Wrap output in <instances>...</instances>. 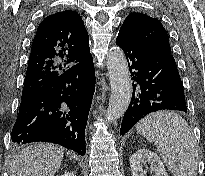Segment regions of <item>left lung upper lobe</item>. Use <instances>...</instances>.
I'll return each mask as SVG.
<instances>
[{
	"mask_svg": "<svg viewBox=\"0 0 205 176\" xmlns=\"http://www.w3.org/2000/svg\"><path fill=\"white\" fill-rule=\"evenodd\" d=\"M120 30L141 44L171 54L168 34L156 18L134 12L127 16Z\"/></svg>",
	"mask_w": 205,
	"mask_h": 176,
	"instance_id": "obj_1",
	"label": "left lung upper lobe"
}]
</instances>
